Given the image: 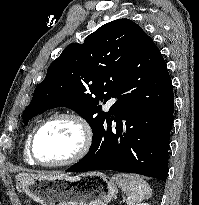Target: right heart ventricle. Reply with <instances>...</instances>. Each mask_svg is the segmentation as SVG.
<instances>
[{"label": "right heart ventricle", "mask_w": 199, "mask_h": 205, "mask_svg": "<svg viewBox=\"0 0 199 205\" xmlns=\"http://www.w3.org/2000/svg\"><path fill=\"white\" fill-rule=\"evenodd\" d=\"M34 130H35V128L32 129V131L29 133V135L25 141L24 147H23V158H24L25 162L28 164H33V161L31 160L29 153H28V144H29L30 136Z\"/></svg>", "instance_id": "right-heart-ventricle-1"}]
</instances>
